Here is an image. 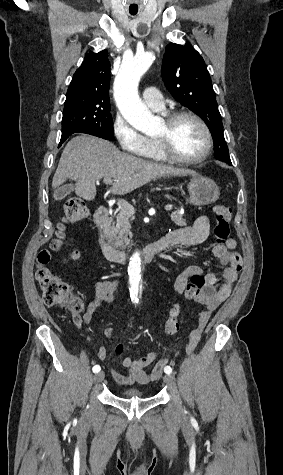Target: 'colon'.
Wrapping results in <instances>:
<instances>
[{
    "instance_id": "1",
    "label": "colon",
    "mask_w": 283,
    "mask_h": 475,
    "mask_svg": "<svg viewBox=\"0 0 283 475\" xmlns=\"http://www.w3.org/2000/svg\"><path fill=\"white\" fill-rule=\"evenodd\" d=\"M216 219L213 225V234L217 244H223L230 238V221L232 210L228 205L217 204L214 207ZM63 221L65 223H76L87 218L89 211L87 205L80 198L70 197L66 200L63 210ZM62 228V224H60ZM65 245L64 233L60 231L52 242L54 249H61ZM77 253H72L73 258H77ZM39 262L48 264L51 256L48 251H43L38 256ZM36 281L43 293L44 304L51 308L64 310L70 317L74 326L81 322L86 304L79 293L63 279L48 268H39L36 271ZM209 278L202 273H195L191 276V283L185 289L184 298L193 301L196 294L207 286ZM178 307L172 306L171 312L165 321V334L172 337L179 330Z\"/></svg>"
}]
</instances>
